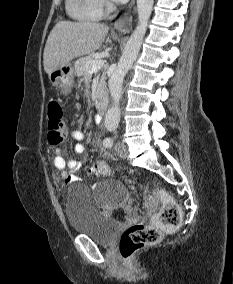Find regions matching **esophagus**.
I'll list each match as a JSON object with an SVG mask.
<instances>
[{"label": "esophagus", "mask_w": 233, "mask_h": 284, "mask_svg": "<svg viewBox=\"0 0 233 284\" xmlns=\"http://www.w3.org/2000/svg\"><path fill=\"white\" fill-rule=\"evenodd\" d=\"M135 0H132L128 9L120 16V18L114 24V28L122 33H126L129 31V26L132 22L131 9L134 5Z\"/></svg>", "instance_id": "1"}]
</instances>
